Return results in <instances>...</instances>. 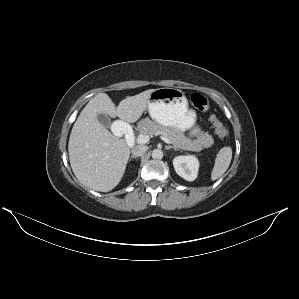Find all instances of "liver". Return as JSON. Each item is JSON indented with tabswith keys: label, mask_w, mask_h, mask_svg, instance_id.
Here are the masks:
<instances>
[{
	"label": "liver",
	"mask_w": 299,
	"mask_h": 299,
	"mask_svg": "<svg viewBox=\"0 0 299 299\" xmlns=\"http://www.w3.org/2000/svg\"><path fill=\"white\" fill-rule=\"evenodd\" d=\"M154 89L123 99L116 107L106 93H99L83 108L73 125L68 152L77 179L85 186L108 192L121 181L130 156L124 139L114 136L97 120L98 114L136 122L147 107Z\"/></svg>",
	"instance_id": "obj_1"
}]
</instances>
